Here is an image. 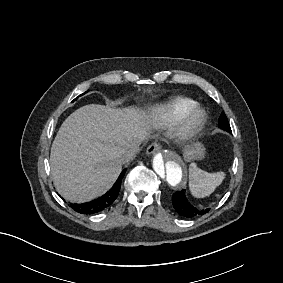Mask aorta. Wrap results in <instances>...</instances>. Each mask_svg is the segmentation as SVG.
<instances>
[{
  "label": "aorta",
  "instance_id": "762f6f07",
  "mask_svg": "<svg viewBox=\"0 0 283 283\" xmlns=\"http://www.w3.org/2000/svg\"><path fill=\"white\" fill-rule=\"evenodd\" d=\"M152 167L161 186L176 189L183 184L185 165L175 152L164 150L157 153L152 160Z\"/></svg>",
  "mask_w": 283,
  "mask_h": 283
}]
</instances>
